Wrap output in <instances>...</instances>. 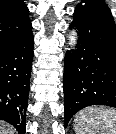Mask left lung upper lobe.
I'll use <instances>...</instances> for the list:
<instances>
[{
    "mask_svg": "<svg viewBox=\"0 0 116 134\" xmlns=\"http://www.w3.org/2000/svg\"><path fill=\"white\" fill-rule=\"evenodd\" d=\"M96 8L111 14L109 7L103 0H82L75 9Z\"/></svg>",
    "mask_w": 116,
    "mask_h": 134,
    "instance_id": "1",
    "label": "left lung upper lobe"
}]
</instances>
